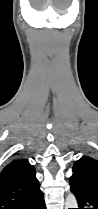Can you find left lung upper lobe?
Here are the masks:
<instances>
[{
	"instance_id": "5c2ea615",
	"label": "left lung upper lobe",
	"mask_w": 98,
	"mask_h": 209,
	"mask_svg": "<svg viewBox=\"0 0 98 209\" xmlns=\"http://www.w3.org/2000/svg\"><path fill=\"white\" fill-rule=\"evenodd\" d=\"M72 170L70 186L98 198V160L83 156L74 163Z\"/></svg>"
}]
</instances>
